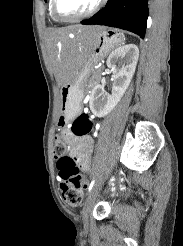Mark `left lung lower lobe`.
Returning <instances> with one entry per match:
<instances>
[{
	"label": "left lung lower lobe",
	"instance_id": "0a47b994",
	"mask_svg": "<svg viewBox=\"0 0 183 246\" xmlns=\"http://www.w3.org/2000/svg\"><path fill=\"white\" fill-rule=\"evenodd\" d=\"M148 0H108L105 8L82 24H99L131 31L144 38Z\"/></svg>",
	"mask_w": 183,
	"mask_h": 246
}]
</instances>
